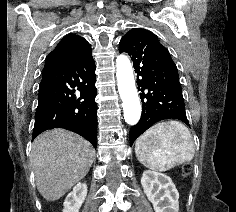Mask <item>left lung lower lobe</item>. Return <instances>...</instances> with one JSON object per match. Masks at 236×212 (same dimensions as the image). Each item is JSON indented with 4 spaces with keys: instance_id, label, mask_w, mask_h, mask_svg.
Returning a JSON list of instances; mask_svg holds the SVG:
<instances>
[{
    "instance_id": "left-lung-lower-lobe-1",
    "label": "left lung lower lobe",
    "mask_w": 236,
    "mask_h": 212,
    "mask_svg": "<svg viewBox=\"0 0 236 212\" xmlns=\"http://www.w3.org/2000/svg\"><path fill=\"white\" fill-rule=\"evenodd\" d=\"M119 52L131 55L141 91L142 114L129 132L130 144L153 124L178 119L189 126L176 64L150 31L134 28L126 33Z\"/></svg>"
}]
</instances>
